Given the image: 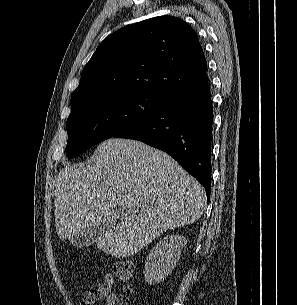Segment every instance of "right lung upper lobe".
Returning a JSON list of instances; mask_svg holds the SVG:
<instances>
[{
    "label": "right lung upper lobe",
    "instance_id": "1",
    "mask_svg": "<svg viewBox=\"0 0 297 305\" xmlns=\"http://www.w3.org/2000/svg\"><path fill=\"white\" fill-rule=\"evenodd\" d=\"M195 31L183 20L159 16L106 37L85 65L71 111L112 95L146 92L168 98L208 82Z\"/></svg>",
    "mask_w": 297,
    "mask_h": 305
}]
</instances>
